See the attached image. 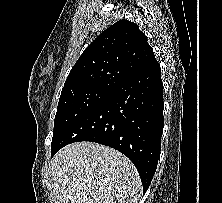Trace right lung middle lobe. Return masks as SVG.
I'll use <instances>...</instances> for the list:
<instances>
[{
  "instance_id": "right-lung-middle-lobe-1",
  "label": "right lung middle lobe",
  "mask_w": 222,
  "mask_h": 203,
  "mask_svg": "<svg viewBox=\"0 0 222 203\" xmlns=\"http://www.w3.org/2000/svg\"><path fill=\"white\" fill-rule=\"evenodd\" d=\"M111 92L112 89L98 86L62 89L54 120L52 144L77 120L104 101Z\"/></svg>"
}]
</instances>
